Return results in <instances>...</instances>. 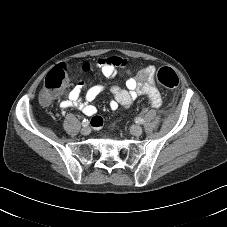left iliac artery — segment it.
I'll return each instance as SVG.
<instances>
[{"instance_id": "left-iliac-artery-1", "label": "left iliac artery", "mask_w": 227, "mask_h": 227, "mask_svg": "<svg viewBox=\"0 0 227 227\" xmlns=\"http://www.w3.org/2000/svg\"><path fill=\"white\" fill-rule=\"evenodd\" d=\"M136 123H140V124H143L144 123V120L141 118V117H137L135 119Z\"/></svg>"}]
</instances>
